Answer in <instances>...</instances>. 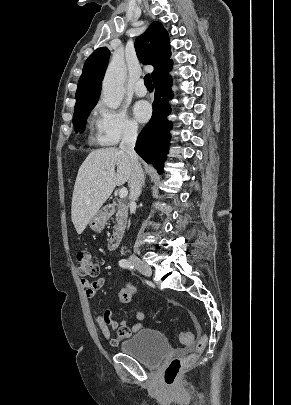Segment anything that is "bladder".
I'll return each mask as SVG.
<instances>
[{
  "label": "bladder",
  "mask_w": 291,
  "mask_h": 405,
  "mask_svg": "<svg viewBox=\"0 0 291 405\" xmlns=\"http://www.w3.org/2000/svg\"><path fill=\"white\" fill-rule=\"evenodd\" d=\"M120 351L146 367H156L168 354L169 343L161 331L145 328L124 340Z\"/></svg>",
  "instance_id": "31cf9c89"
}]
</instances>
